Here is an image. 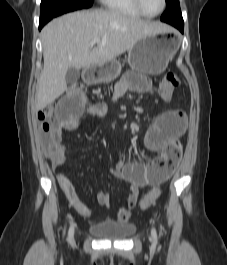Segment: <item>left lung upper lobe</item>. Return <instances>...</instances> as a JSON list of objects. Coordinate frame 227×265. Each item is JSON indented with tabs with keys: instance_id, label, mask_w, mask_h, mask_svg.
Here are the masks:
<instances>
[{
	"instance_id": "1",
	"label": "left lung upper lobe",
	"mask_w": 227,
	"mask_h": 265,
	"mask_svg": "<svg viewBox=\"0 0 227 265\" xmlns=\"http://www.w3.org/2000/svg\"><path fill=\"white\" fill-rule=\"evenodd\" d=\"M166 3V11L161 16V20L169 24L172 22L184 23L179 0H166Z\"/></svg>"
}]
</instances>
